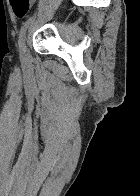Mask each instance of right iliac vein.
<instances>
[{"label":"right iliac vein","instance_id":"1","mask_svg":"<svg viewBox=\"0 0 140 196\" xmlns=\"http://www.w3.org/2000/svg\"><path fill=\"white\" fill-rule=\"evenodd\" d=\"M23 61L29 66L31 64V57L28 54H25Z\"/></svg>","mask_w":140,"mask_h":196}]
</instances>
